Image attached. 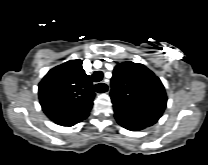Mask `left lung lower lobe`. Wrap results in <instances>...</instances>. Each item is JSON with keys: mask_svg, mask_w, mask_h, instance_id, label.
I'll return each mask as SVG.
<instances>
[{"mask_svg": "<svg viewBox=\"0 0 208 165\" xmlns=\"http://www.w3.org/2000/svg\"><path fill=\"white\" fill-rule=\"evenodd\" d=\"M119 123V122H118ZM122 127L131 130V131H139L144 129L145 127L143 126H136V125H130V124H125V123H119Z\"/></svg>", "mask_w": 208, "mask_h": 165, "instance_id": "0a47b994", "label": "left lung lower lobe"}]
</instances>
